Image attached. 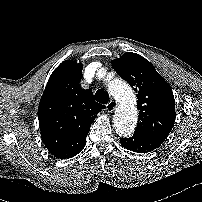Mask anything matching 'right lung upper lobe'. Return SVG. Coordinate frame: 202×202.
Masks as SVG:
<instances>
[{
  "mask_svg": "<svg viewBox=\"0 0 202 202\" xmlns=\"http://www.w3.org/2000/svg\"><path fill=\"white\" fill-rule=\"evenodd\" d=\"M81 63L62 62L51 74L38 107L41 137L48 151L59 159L77 155L97 113L104 109L89 89L80 87Z\"/></svg>",
  "mask_w": 202,
  "mask_h": 202,
  "instance_id": "right-lung-upper-lobe-1",
  "label": "right lung upper lobe"
}]
</instances>
